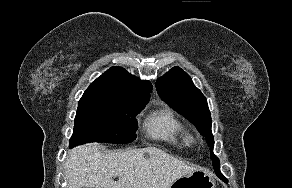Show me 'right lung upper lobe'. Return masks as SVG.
<instances>
[{
  "label": "right lung upper lobe",
  "instance_id": "cb5924a9",
  "mask_svg": "<svg viewBox=\"0 0 292 188\" xmlns=\"http://www.w3.org/2000/svg\"><path fill=\"white\" fill-rule=\"evenodd\" d=\"M89 87L105 88L128 93L138 99L149 100L152 85L129 74L122 67H112L97 78Z\"/></svg>",
  "mask_w": 292,
  "mask_h": 188
}]
</instances>
